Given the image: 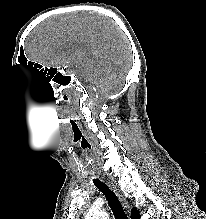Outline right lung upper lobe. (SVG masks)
<instances>
[{"label": "right lung upper lobe", "mask_w": 206, "mask_h": 219, "mask_svg": "<svg viewBox=\"0 0 206 219\" xmlns=\"http://www.w3.org/2000/svg\"><path fill=\"white\" fill-rule=\"evenodd\" d=\"M139 217H140L139 211L136 208L132 209L131 218L132 219H139Z\"/></svg>", "instance_id": "1"}]
</instances>
